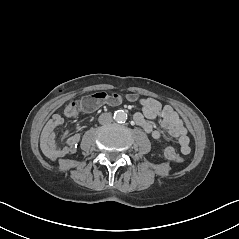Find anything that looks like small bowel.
I'll use <instances>...</instances> for the list:
<instances>
[{
  "label": "small bowel",
  "mask_w": 239,
  "mask_h": 239,
  "mask_svg": "<svg viewBox=\"0 0 239 239\" xmlns=\"http://www.w3.org/2000/svg\"><path fill=\"white\" fill-rule=\"evenodd\" d=\"M142 111L134 115V121L146 133L150 134L152 138L159 140L164 138L165 134L155 129L151 120L156 118L161 119V125L166 130L167 134L177 139L179 150L182 154L187 155L190 152V138L188 130L180 115L169 105H163L154 98L140 99ZM95 108H84V111H93ZM65 117H70L64 111ZM64 122L63 116L55 114L44 126L40 144L44 155L51 159L56 160L67 154L74 153L80 141L79 134H72L67 130L64 132L61 142L57 143L55 140V130Z\"/></svg>",
  "instance_id": "1"
}]
</instances>
